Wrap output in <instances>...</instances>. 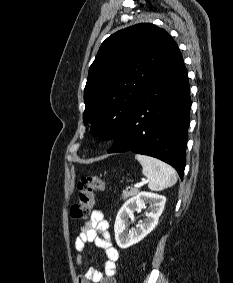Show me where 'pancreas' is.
I'll list each match as a JSON object with an SVG mask.
<instances>
[{
    "instance_id": "1",
    "label": "pancreas",
    "mask_w": 233,
    "mask_h": 283,
    "mask_svg": "<svg viewBox=\"0 0 233 283\" xmlns=\"http://www.w3.org/2000/svg\"><path fill=\"white\" fill-rule=\"evenodd\" d=\"M138 192H139L138 189H131L130 191L123 190L122 199H127L129 197H133V196L137 195Z\"/></svg>"
}]
</instances>
